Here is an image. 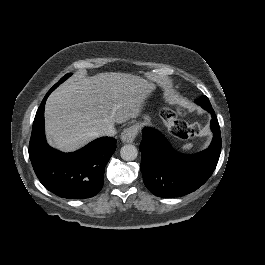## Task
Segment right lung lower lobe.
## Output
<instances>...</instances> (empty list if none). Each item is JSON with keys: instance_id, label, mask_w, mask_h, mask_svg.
Here are the masks:
<instances>
[{"instance_id": "1", "label": "right lung lower lobe", "mask_w": 265, "mask_h": 265, "mask_svg": "<svg viewBox=\"0 0 265 265\" xmlns=\"http://www.w3.org/2000/svg\"><path fill=\"white\" fill-rule=\"evenodd\" d=\"M52 91L44 97L33 123L29 143L33 169L42 185L59 197H92L103 186L105 166L116 149V140L102 137L73 153L49 147L44 133V107Z\"/></svg>"}]
</instances>
